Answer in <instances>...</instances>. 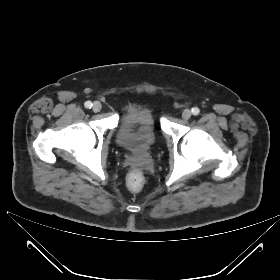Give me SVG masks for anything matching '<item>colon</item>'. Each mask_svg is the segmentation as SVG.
Here are the masks:
<instances>
[{
    "mask_svg": "<svg viewBox=\"0 0 280 280\" xmlns=\"http://www.w3.org/2000/svg\"><path fill=\"white\" fill-rule=\"evenodd\" d=\"M143 185V174L137 169L132 170L127 179L128 189L132 192H139L143 188Z\"/></svg>",
    "mask_w": 280,
    "mask_h": 280,
    "instance_id": "5ec220e1",
    "label": "colon"
}]
</instances>
